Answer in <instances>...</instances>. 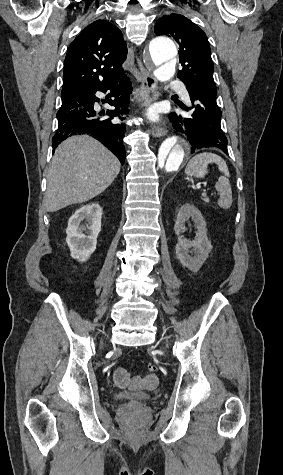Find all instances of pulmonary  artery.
Returning a JSON list of instances; mask_svg holds the SVG:
<instances>
[{"label":"pulmonary artery","mask_w":283,"mask_h":475,"mask_svg":"<svg viewBox=\"0 0 283 475\" xmlns=\"http://www.w3.org/2000/svg\"><path fill=\"white\" fill-rule=\"evenodd\" d=\"M174 86L177 88V94L183 96L186 101H189L188 89L180 84V82L175 83Z\"/></svg>","instance_id":"pulmonary-artery-1"}]
</instances>
